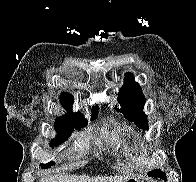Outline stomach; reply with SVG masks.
<instances>
[{"instance_id": "1", "label": "stomach", "mask_w": 196, "mask_h": 182, "mask_svg": "<svg viewBox=\"0 0 196 182\" xmlns=\"http://www.w3.org/2000/svg\"><path fill=\"white\" fill-rule=\"evenodd\" d=\"M126 182H143L138 177H131Z\"/></svg>"}]
</instances>
